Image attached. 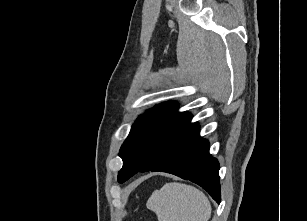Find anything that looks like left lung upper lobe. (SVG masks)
Returning <instances> with one entry per match:
<instances>
[{"instance_id":"5c2ea615","label":"left lung upper lobe","mask_w":307,"mask_h":221,"mask_svg":"<svg viewBox=\"0 0 307 221\" xmlns=\"http://www.w3.org/2000/svg\"><path fill=\"white\" fill-rule=\"evenodd\" d=\"M178 105L168 102L139 116L120 148L123 167L118 181L123 182L153 160L166 146L195 125L188 124L191 114L177 112Z\"/></svg>"}]
</instances>
